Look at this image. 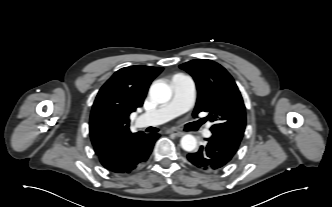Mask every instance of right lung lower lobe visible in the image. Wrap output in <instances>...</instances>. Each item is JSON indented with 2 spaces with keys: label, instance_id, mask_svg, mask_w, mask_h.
I'll return each instance as SVG.
<instances>
[{
  "label": "right lung lower lobe",
  "instance_id": "98d812e1",
  "mask_svg": "<svg viewBox=\"0 0 332 207\" xmlns=\"http://www.w3.org/2000/svg\"><path fill=\"white\" fill-rule=\"evenodd\" d=\"M158 138V134H136L116 151L98 156L99 160L110 172L131 173L149 158Z\"/></svg>",
  "mask_w": 332,
  "mask_h": 207
}]
</instances>
